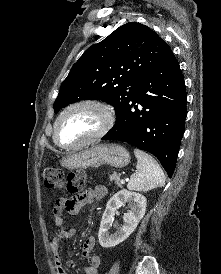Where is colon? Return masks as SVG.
Returning a JSON list of instances; mask_svg holds the SVG:
<instances>
[{
	"mask_svg": "<svg viewBox=\"0 0 221 274\" xmlns=\"http://www.w3.org/2000/svg\"><path fill=\"white\" fill-rule=\"evenodd\" d=\"M42 176L46 188L56 191L64 187L72 195H77L85 184V175L82 172L70 173L65 179L60 169L46 167L42 171Z\"/></svg>",
	"mask_w": 221,
	"mask_h": 274,
	"instance_id": "1",
	"label": "colon"
}]
</instances>
